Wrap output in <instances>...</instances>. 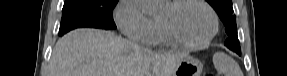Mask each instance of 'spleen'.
Segmentation results:
<instances>
[{
  "instance_id": "obj_1",
  "label": "spleen",
  "mask_w": 287,
  "mask_h": 76,
  "mask_svg": "<svg viewBox=\"0 0 287 76\" xmlns=\"http://www.w3.org/2000/svg\"><path fill=\"white\" fill-rule=\"evenodd\" d=\"M215 68L225 76H243V73L236 61L223 52H217L213 56Z\"/></svg>"
}]
</instances>
